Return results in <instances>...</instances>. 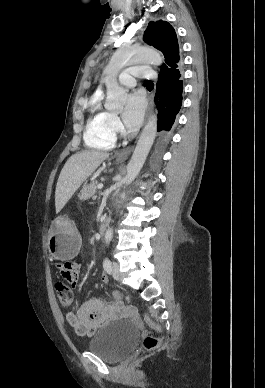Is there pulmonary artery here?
I'll return each instance as SVG.
<instances>
[{"instance_id":"e3ab8cb5","label":"pulmonary artery","mask_w":265,"mask_h":388,"mask_svg":"<svg viewBox=\"0 0 265 388\" xmlns=\"http://www.w3.org/2000/svg\"><path fill=\"white\" fill-rule=\"evenodd\" d=\"M145 68L146 70L143 72L144 66L142 64H128L126 69L120 71V86H135L138 79H152L151 67L146 66ZM129 71H131V75H128Z\"/></svg>"}]
</instances>
